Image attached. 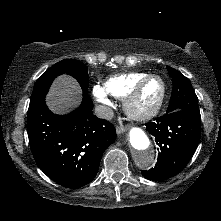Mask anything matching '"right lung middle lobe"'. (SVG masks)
I'll return each instance as SVG.
<instances>
[{
	"instance_id": "right-lung-middle-lobe-1",
	"label": "right lung middle lobe",
	"mask_w": 221,
	"mask_h": 221,
	"mask_svg": "<svg viewBox=\"0 0 221 221\" xmlns=\"http://www.w3.org/2000/svg\"><path fill=\"white\" fill-rule=\"evenodd\" d=\"M68 74L73 76L80 83L83 92L88 91L89 76L88 69L85 64L74 59L62 60L52 67H50L34 85L32 92L28 113L33 111L34 108L45 99L46 93L52 81L61 74Z\"/></svg>"
}]
</instances>
